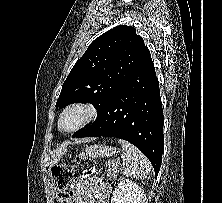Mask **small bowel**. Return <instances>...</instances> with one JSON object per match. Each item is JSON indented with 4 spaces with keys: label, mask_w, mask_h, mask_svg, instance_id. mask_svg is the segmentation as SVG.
Masks as SVG:
<instances>
[{
    "label": "small bowel",
    "mask_w": 222,
    "mask_h": 203,
    "mask_svg": "<svg viewBox=\"0 0 222 203\" xmlns=\"http://www.w3.org/2000/svg\"><path fill=\"white\" fill-rule=\"evenodd\" d=\"M110 187L96 179L80 180L76 184L73 203H109Z\"/></svg>",
    "instance_id": "1"
}]
</instances>
